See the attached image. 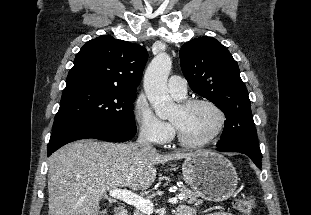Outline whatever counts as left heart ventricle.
I'll return each mask as SVG.
<instances>
[{"label":"left heart ventricle","mask_w":311,"mask_h":215,"mask_svg":"<svg viewBox=\"0 0 311 215\" xmlns=\"http://www.w3.org/2000/svg\"><path fill=\"white\" fill-rule=\"evenodd\" d=\"M182 136L191 142H199L209 137L218 125V115L209 106L199 104L187 110L176 106L170 116Z\"/></svg>","instance_id":"b2bd125f"}]
</instances>
